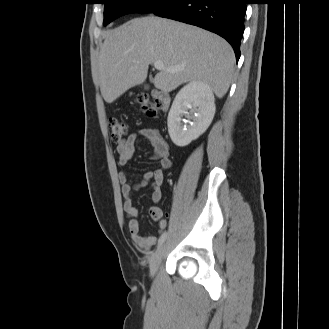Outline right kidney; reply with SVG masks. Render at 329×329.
Wrapping results in <instances>:
<instances>
[{"label": "right kidney", "instance_id": "ca27d5eb", "mask_svg": "<svg viewBox=\"0 0 329 329\" xmlns=\"http://www.w3.org/2000/svg\"><path fill=\"white\" fill-rule=\"evenodd\" d=\"M214 102L213 92L205 83L193 81L181 88L167 119L168 132L175 145L187 146L207 130L215 114ZM189 113L192 122L186 127L182 117Z\"/></svg>", "mask_w": 329, "mask_h": 329}]
</instances>
